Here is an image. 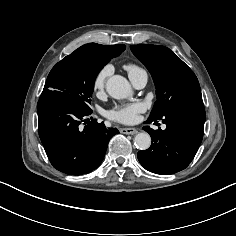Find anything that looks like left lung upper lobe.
<instances>
[{"instance_id":"5c2ea615","label":"left lung upper lobe","mask_w":236,"mask_h":236,"mask_svg":"<svg viewBox=\"0 0 236 236\" xmlns=\"http://www.w3.org/2000/svg\"><path fill=\"white\" fill-rule=\"evenodd\" d=\"M130 48L147 67L155 83L157 101L150 119H162L168 110L183 102L202 101L197 77L169 48L160 45H133Z\"/></svg>"}]
</instances>
